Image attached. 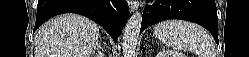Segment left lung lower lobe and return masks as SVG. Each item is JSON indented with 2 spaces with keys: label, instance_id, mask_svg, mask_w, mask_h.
<instances>
[{
  "label": "left lung lower lobe",
  "instance_id": "1",
  "mask_svg": "<svg viewBox=\"0 0 249 57\" xmlns=\"http://www.w3.org/2000/svg\"><path fill=\"white\" fill-rule=\"evenodd\" d=\"M168 19L198 23L213 35L218 44L217 10L214 0H156L143 12L140 33L147 27Z\"/></svg>",
  "mask_w": 249,
  "mask_h": 57
}]
</instances>
